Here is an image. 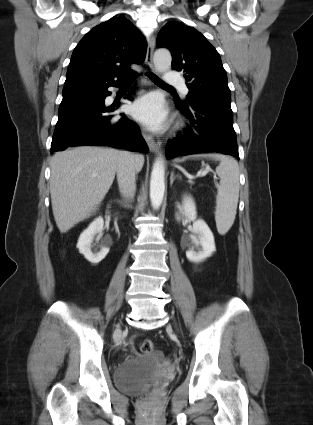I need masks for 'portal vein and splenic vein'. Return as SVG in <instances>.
<instances>
[{
	"mask_svg": "<svg viewBox=\"0 0 313 425\" xmlns=\"http://www.w3.org/2000/svg\"><path fill=\"white\" fill-rule=\"evenodd\" d=\"M208 170L206 169V170H203V171H200V172H198V176L199 177H204V176H206L207 174H208ZM187 177L189 178V179H192V177L190 176V175H187Z\"/></svg>",
	"mask_w": 313,
	"mask_h": 425,
	"instance_id": "1",
	"label": "portal vein and splenic vein"
}]
</instances>
